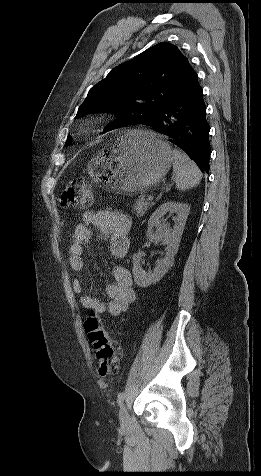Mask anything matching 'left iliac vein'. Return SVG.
<instances>
[{
	"label": "left iliac vein",
	"mask_w": 261,
	"mask_h": 476,
	"mask_svg": "<svg viewBox=\"0 0 261 476\" xmlns=\"http://www.w3.org/2000/svg\"><path fill=\"white\" fill-rule=\"evenodd\" d=\"M119 419L122 425H126L129 421L128 411L124 404L120 406Z\"/></svg>",
	"instance_id": "obj_1"
}]
</instances>
